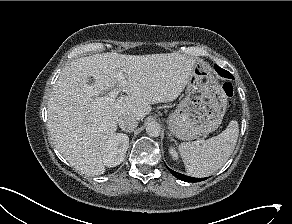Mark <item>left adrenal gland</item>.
<instances>
[{"instance_id":"a2214340","label":"left adrenal gland","mask_w":292,"mask_h":224,"mask_svg":"<svg viewBox=\"0 0 292 224\" xmlns=\"http://www.w3.org/2000/svg\"><path fill=\"white\" fill-rule=\"evenodd\" d=\"M168 136H169L170 140H173V138L171 137V134L170 133H168Z\"/></svg>"}]
</instances>
